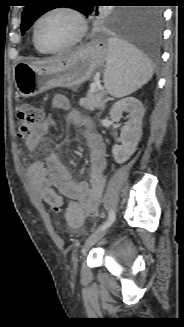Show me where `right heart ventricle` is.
<instances>
[{
    "label": "right heart ventricle",
    "instance_id": "e07e8e85",
    "mask_svg": "<svg viewBox=\"0 0 184 327\" xmlns=\"http://www.w3.org/2000/svg\"><path fill=\"white\" fill-rule=\"evenodd\" d=\"M36 49L39 51V52H42L40 49H38L37 47H36ZM44 53V52H43Z\"/></svg>",
    "mask_w": 184,
    "mask_h": 327
}]
</instances>
